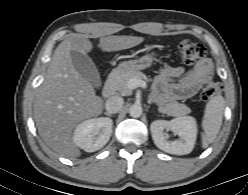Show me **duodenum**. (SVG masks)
Instances as JSON below:
<instances>
[{"mask_svg": "<svg viewBox=\"0 0 248 195\" xmlns=\"http://www.w3.org/2000/svg\"><path fill=\"white\" fill-rule=\"evenodd\" d=\"M117 75V72H111L108 75L102 90L103 97L110 98L114 94V87Z\"/></svg>", "mask_w": 248, "mask_h": 195, "instance_id": "1", "label": "duodenum"}]
</instances>
